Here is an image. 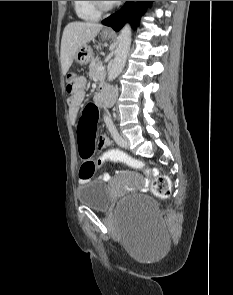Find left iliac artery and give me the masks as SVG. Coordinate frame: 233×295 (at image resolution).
Returning a JSON list of instances; mask_svg holds the SVG:
<instances>
[{
    "instance_id": "obj_1",
    "label": "left iliac artery",
    "mask_w": 233,
    "mask_h": 295,
    "mask_svg": "<svg viewBox=\"0 0 233 295\" xmlns=\"http://www.w3.org/2000/svg\"><path fill=\"white\" fill-rule=\"evenodd\" d=\"M105 122H106V125L112 135V137L114 138V140L116 141V143L118 145H124L125 144V141L122 140L121 136L119 135L115 125L113 124V121L111 120L110 117H106L105 118Z\"/></svg>"
}]
</instances>
